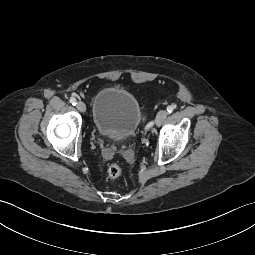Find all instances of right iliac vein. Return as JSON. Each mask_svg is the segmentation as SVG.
Wrapping results in <instances>:
<instances>
[{"label":"right iliac vein","instance_id":"right-iliac-vein-1","mask_svg":"<svg viewBox=\"0 0 255 255\" xmlns=\"http://www.w3.org/2000/svg\"><path fill=\"white\" fill-rule=\"evenodd\" d=\"M77 109L80 111V112H85L86 111V105L84 104V102L82 101H79L76 105Z\"/></svg>","mask_w":255,"mask_h":255}]
</instances>
